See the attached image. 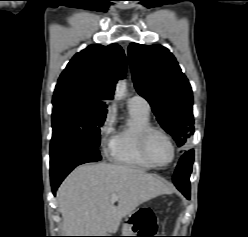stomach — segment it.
<instances>
[{"label": "stomach", "mask_w": 248, "mask_h": 237, "mask_svg": "<svg viewBox=\"0 0 248 237\" xmlns=\"http://www.w3.org/2000/svg\"><path fill=\"white\" fill-rule=\"evenodd\" d=\"M126 233L127 234L125 236H135L134 234L136 233V231L132 230V228L129 227Z\"/></svg>", "instance_id": "0dacf381"}]
</instances>
